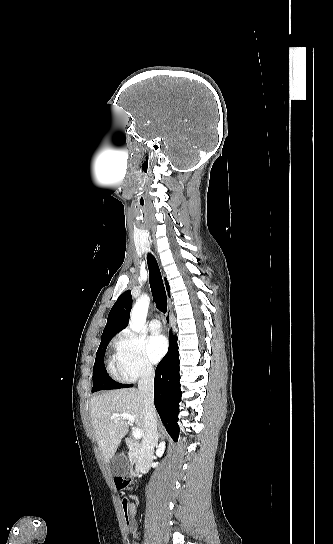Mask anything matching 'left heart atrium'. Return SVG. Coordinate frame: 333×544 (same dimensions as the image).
Segmentation results:
<instances>
[{"label": "left heart atrium", "instance_id": "39dd6f15", "mask_svg": "<svg viewBox=\"0 0 333 544\" xmlns=\"http://www.w3.org/2000/svg\"><path fill=\"white\" fill-rule=\"evenodd\" d=\"M168 349L167 340L162 335H153L147 339L146 350L148 357L154 363L160 361Z\"/></svg>", "mask_w": 333, "mask_h": 544}]
</instances>
